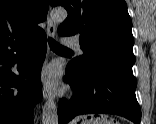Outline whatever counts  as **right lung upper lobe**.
<instances>
[{
	"label": "right lung upper lobe",
	"mask_w": 156,
	"mask_h": 124,
	"mask_svg": "<svg viewBox=\"0 0 156 124\" xmlns=\"http://www.w3.org/2000/svg\"><path fill=\"white\" fill-rule=\"evenodd\" d=\"M48 8V0H0V46L35 37Z\"/></svg>",
	"instance_id": "right-lung-upper-lobe-1"
}]
</instances>
